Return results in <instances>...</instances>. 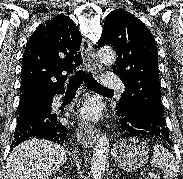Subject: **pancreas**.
<instances>
[{"label": "pancreas", "mask_w": 183, "mask_h": 179, "mask_svg": "<svg viewBox=\"0 0 183 179\" xmlns=\"http://www.w3.org/2000/svg\"><path fill=\"white\" fill-rule=\"evenodd\" d=\"M147 179H160V177L157 175H154V176H149Z\"/></svg>", "instance_id": "1"}]
</instances>
